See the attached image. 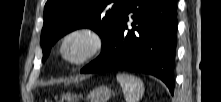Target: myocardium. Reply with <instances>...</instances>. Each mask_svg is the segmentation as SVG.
Returning a JSON list of instances; mask_svg holds the SVG:
<instances>
[{"instance_id": "obj_1", "label": "myocardium", "mask_w": 221, "mask_h": 102, "mask_svg": "<svg viewBox=\"0 0 221 102\" xmlns=\"http://www.w3.org/2000/svg\"><path fill=\"white\" fill-rule=\"evenodd\" d=\"M74 38L83 40L86 47L80 57L76 59H69L65 54V47L67 43ZM104 46L105 39L99 30L91 26L81 25L72 28L64 35L60 44L59 52L65 63L72 66H81L99 55L102 52Z\"/></svg>"}]
</instances>
